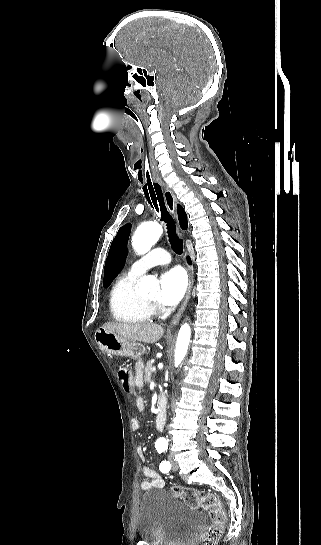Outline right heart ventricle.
<instances>
[{
    "label": "right heart ventricle",
    "instance_id": "obj_1",
    "mask_svg": "<svg viewBox=\"0 0 321 545\" xmlns=\"http://www.w3.org/2000/svg\"><path fill=\"white\" fill-rule=\"evenodd\" d=\"M137 275L121 272L110 291L109 311L111 318L124 325L142 324L155 317L154 310L147 309L136 294ZM159 315L164 316L165 312Z\"/></svg>",
    "mask_w": 321,
    "mask_h": 545
}]
</instances>
